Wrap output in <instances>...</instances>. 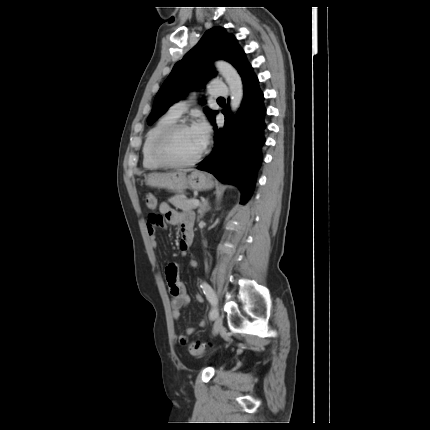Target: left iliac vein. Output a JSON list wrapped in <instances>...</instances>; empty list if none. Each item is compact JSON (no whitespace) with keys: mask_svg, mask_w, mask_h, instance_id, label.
<instances>
[{"mask_svg":"<svg viewBox=\"0 0 430 430\" xmlns=\"http://www.w3.org/2000/svg\"><path fill=\"white\" fill-rule=\"evenodd\" d=\"M216 310H217V316L215 318V322H214V325H213V334L214 335L218 334L221 331L222 327H223L222 326V319L219 317L218 308H216Z\"/></svg>","mask_w":430,"mask_h":430,"instance_id":"left-iliac-vein-1","label":"left iliac vein"}]
</instances>
